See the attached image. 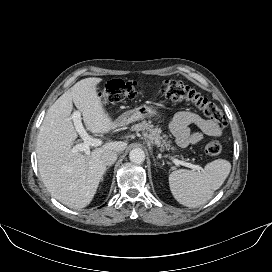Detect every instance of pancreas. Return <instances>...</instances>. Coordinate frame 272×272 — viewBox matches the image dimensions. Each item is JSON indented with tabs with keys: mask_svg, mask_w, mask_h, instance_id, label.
<instances>
[{
	"mask_svg": "<svg viewBox=\"0 0 272 272\" xmlns=\"http://www.w3.org/2000/svg\"><path fill=\"white\" fill-rule=\"evenodd\" d=\"M132 129L136 131H143L148 133V137L150 141L157 145L158 147L162 149L166 148L167 150L170 149V144L164 140L163 138L166 137L165 135H161L162 130L158 127H154L151 122H147L146 120H143L142 122L135 124Z\"/></svg>",
	"mask_w": 272,
	"mask_h": 272,
	"instance_id": "obj_1",
	"label": "pancreas"
}]
</instances>
